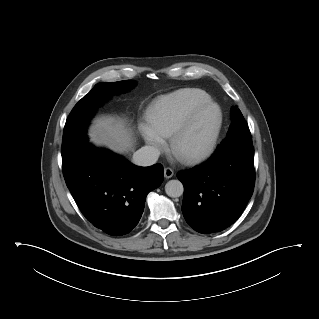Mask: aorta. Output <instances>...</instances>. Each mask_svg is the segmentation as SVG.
Masks as SVG:
<instances>
[{
  "label": "aorta",
  "instance_id": "obj_1",
  "mask_svg": "<svg viewBox=\"0 0 319 319\" xmlns=\"http://www.w3.org/2000/svg\"><path fill=\"white\" fill-rule=\"evenodd\" d=\"M183 191V184L179 180H170L165 185V192L169 197H180Z\"/></svg>",
  "mask_w": 319,
  "mask_h": 319
}]
</instances>
